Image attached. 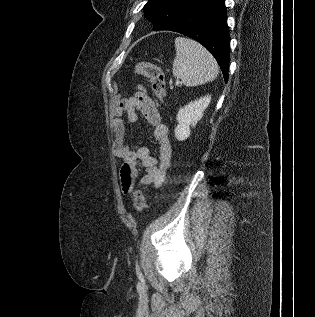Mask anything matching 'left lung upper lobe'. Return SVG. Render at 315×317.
<instances>
[{
    "label": "left lung upper lobe",
    "instance_id": "obj_1",
    "mask_svg": "<svg viewBox=\"0 0 315 317\" xmlns=\"http://www.w3.org/2000/svg\"><path fill=\"white\" fill-rule=\"evenodd\" d=\"M199 0H148L144 15L154 22V30H165L175 24Z\"/></svg>",
    "mask_w": 315,
    "mask_h": 317
}]
</instances>
